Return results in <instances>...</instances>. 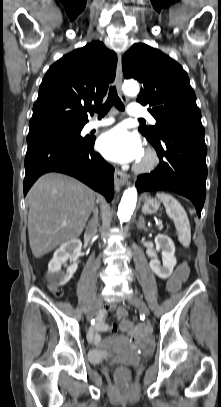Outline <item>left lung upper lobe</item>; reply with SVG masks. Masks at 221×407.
<instances>
[{
	"label": "left lung upper lobe",
	"instance_id": "obj_1",
	"mask_svg": "<svg viewBox=\"0 0 221 407\" xmlns=\"http://www.w3.org/2000/svg\"><path fill=\"white\" fill-rule=\"evenodd\" d=\"M123 74L143 86L137 97L156 119L154 127L141 126L147 139H156L162 127L177 120L201 122L196 96L183 68L168 55L146 44H134L122 57Z\"/></svg>",
	"mask_w": 221,
	"mask_h": 407
}]
</instances>
